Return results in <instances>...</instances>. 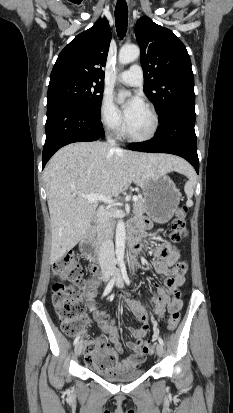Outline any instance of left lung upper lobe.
<instances>
[{"label":"left lung upper lobe","mask_w":233,"mask_h":413,"mask_svg":"<svg viewBox=\"0 0 233 413\" xmlns=\"http://www.w3.org/2000/svg\"><path fill=\"white\" fill-rule=\"evenodd\" d=\"M144 86L161 119L177 111L195 115L194 76L184 44L169 29L141 17L135 26Z\"/></svg>","instance_id":"5c2ea615"}]
</instances>
